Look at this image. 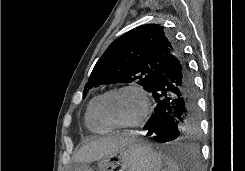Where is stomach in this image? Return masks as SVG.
Instances as JSON below:
<instances>
[{
  "label": "stomach",
  "mask_w": 245,
  "mask_h": 171,
  "mask_svg": "<svg viewBox=\"0 0 245 171\" xmlns=\"http://www.w3.org/2000/svg\"><path fill=\"white\" fill-rule=\"evenodd\" d=\"M160 152L150 145L135 140L116 152L98 161L99 171H163L164 165ZM74 171H93L88 165L81 164Z\"/></svg>",
  "instance_id": "1"
}]
</instances>
